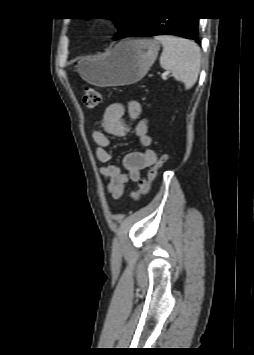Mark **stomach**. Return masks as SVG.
Instances as JSON below:
<instances>
[{
  "label": "stomach",
  "mask_w": 254,
  "mask_h": 355,
  "mask_svg": "<svg viewBox=\"0 0 254 355\" xmlns=\"http://www.w3.org/2000/svg\"><path fill=\"white\" fill-rule=\"evenodd\" d=\"M160 44L152 39H124L106 57L81 58L76 70L96 86H124L140 81L154 63Z\"/></svg>",
  "instance_id": "obj_1"
}]
</instances>
